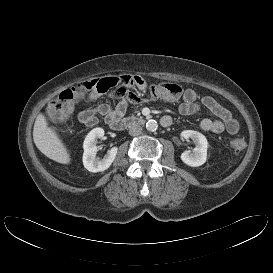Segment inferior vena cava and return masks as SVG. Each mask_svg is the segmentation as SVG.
Returning a JSON list of instances; mask_svg holds the SVG:
<instances>
[{
    "mask_svg": "<svg viewBox=\"0 0 273 273\" xmlns=\"http://www.w3.org/2000/svg\"><path fill=\"white\" fill-rule=\"evenodd\" d=\"M142 133V127L137 124H133L129 127V134L131 136H138Z\"/></svg>",
    "mask_w": 273,
    "mask_h": 273,
    "instance_id": "inferior-vena-cava-1",
    "label": "inferior vena cava"
}]
</instances>
